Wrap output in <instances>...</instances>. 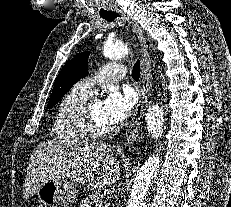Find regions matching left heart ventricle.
Returning <instances> with one entry per match:
<instances>
[{
  "label": "left heart ventricle",
  "mask_w": 231,
  "mask_h": 207,
  "mask_svg": "<svg viewBox=\"0 0 231 207\" xmlns=\"http://www.w3.org/2000/svg\"><path fill=\"white\" fill-rule=\"evenodd\" d=\"M92 114H93L94 122L96 123L98 127L103 128V129H108V128L113 127L103 117L101 102H96L92 106Z\"/></svg>",
  "instance_id": "obj_1"
}]
</instances>
